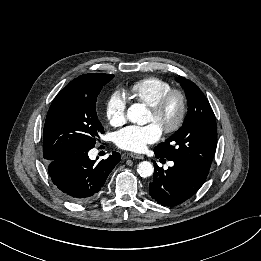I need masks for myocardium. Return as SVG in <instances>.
<instances>
[{
    "label": "myocardium",
    "instance_id": "1",
    "mask_svg": "<svg viewBox=\"0 0 261 261\" xmlns=\"http://www.w3.org/2000/svg\"><path fill=\"white\" fill-rule=\"evenodd\" d=\"M173 101H177L178 103V113L175 120L171 124L161 128V131L165 134L175 133L183 125L187 114V99L185 94L179 89L172 88L163 97H161L154 106L149 107L151 114L158 119L165 113Z\"/></svg>",
    "mask_w": 261,
    "mask_h": 261
}]
</instances>
